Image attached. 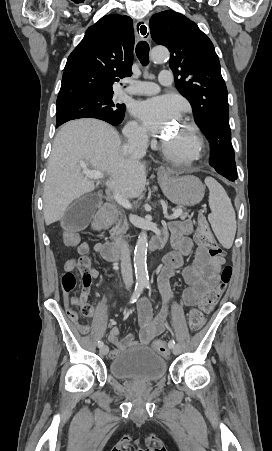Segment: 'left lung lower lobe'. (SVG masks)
<instances>
[{
	"mask_svg": "<svg viewBox=\"0 0 272 451\" xmlns=\"http://www.w3.org/2000/svg\"><path fill=\"white\" fill-rule=\"evenodd\" d=\"M224 177H226V178L229 179L230 181H234L235 179H237V177H228V176H224Z\"/></svg>",
	"mask_w": 272,
	"mask_h": 451,
	"instance_id": "0a47b994",
	"label": "left lung lower lobe"
}]
</instances>
